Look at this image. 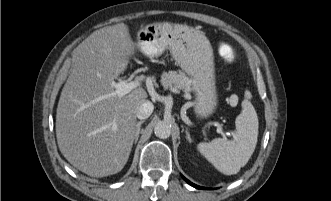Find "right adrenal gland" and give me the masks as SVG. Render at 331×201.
<instances>
[{"label":"right adrenal gland","instance_id":"obj_1","mask_svg":"<svg viewBox=\"0 0 331 201\" xmlns=\"http://www.w3.org/2000/svg\"><path fill=\"white\" fill-rule=\"evenodd\" d=\"M144 123L143 120L137 122L136 127H135V136H134V142L137 143L138 138H139V134H140V129H141V125Z\"/></svg>","mask_w":331,"mask_h":201}]
</instances>
